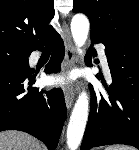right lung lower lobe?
Here are the masks:
<instances>
[{
	"label": "right lung lower lobe",
	"mask_w": 139,
	"mask_h": 150,
	"mask_svg": "<svg viewBox=\"0 0 139 150\" xmlns=\"http://www.w3.org/2000/svg\"><path fill=\"white\" fill-rule=\"evenodd\" d=\"M46 43L53 46V53L45 72L59 71L64 57V43L55 31L34 50L41 51ZM34 80L35 75L29 66L0 62V131L27 132L43 141L49 150H55L66 119L63 92L60 89L45 91L32 87Z\"/></svg>",
	"instance_id": "1"
}]
</instances>
